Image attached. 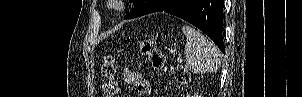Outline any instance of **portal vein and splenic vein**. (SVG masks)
<instances>
[{
  "label": "portal vein and splenic vein",
  "instance_id": "portal-vein-and-splenic-vein-1",
  "mask_svg": "<svg viewBox=\"0 0 302 97\" xmlns=\"http://www.w3.org/2000/svg\"><path fill=\"white\" fill-rule=\"evenodd\" d=\"M183 59L181 57L177 58V62L182 63Z\"/></svg>",
  "mask_w": 302,
  "mask_h": 97
}]
</instances>
